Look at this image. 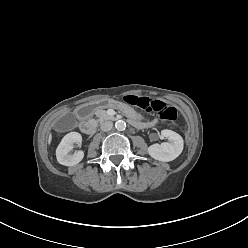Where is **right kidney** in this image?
Wrapping results in <instances>:
<instances>
[{
    "label": "right kidney",
    "instance_id": "ca27d5eb",
    "mask_svg": "<svg viewBox=\"0 0 248 248\" xmlns=\"http://www.w3.org/2000/svg\"><path fill=\"white\" fill-rule=\"evenodd\" d=\"M82 142V136L78 132H70L66 134L60 144L58 145L56 149V158L57 161L65 166H74L78 164L80 161H82L84 157V152L79 150L75 152L74 154H69V152L72 150L73 143H77L81 145Z\"/></svg>",
    "mask_w": 248,
    "mask_h": 248
}]
</instances>
